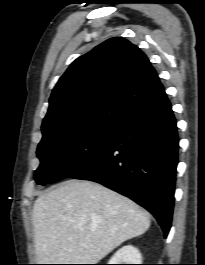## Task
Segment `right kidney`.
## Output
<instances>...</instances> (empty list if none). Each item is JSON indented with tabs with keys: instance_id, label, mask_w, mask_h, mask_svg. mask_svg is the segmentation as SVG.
Returning <instances> with one entry per match:
<instances>
[{
	"instance_id": "ca27d5eb",
	"label": "right kidney",
	"mask_w": 205,
	"mask_h": 265,
	"mask_svg": "<svg viewBox=\"0 0 205 265\" xmlns=\"http://www.w3.org/2000/svg\"><path fill=\"white\" fill-rule=\"evenodd\" d=\"M141 261L139 250L132 245H127L114 254L109 264H141Z\"/></svg>"
}]
</instances>
